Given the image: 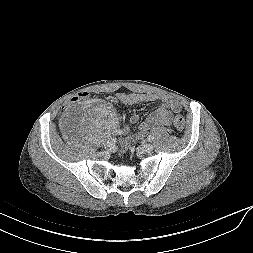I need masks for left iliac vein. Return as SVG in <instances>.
I'll list each match as a JSON object with an SVG mask.
<instances>
[{
	"label": "left iliac vein",
	"instance_id": "4c4485c4",
	"mask_svg": "<svg viewBox=\"0 0 253 253\" xmlns=\"http://www.w3.org/2000/svg\"><path fill=\"white\" fill-rule=\"evenodd\" d=\"M140 150L145 154H149L153 151V145L150 143H146L140 147Z\"/></svg>",
	"mask_w": 253,
	"mask_h": 253
}]
</instances>
